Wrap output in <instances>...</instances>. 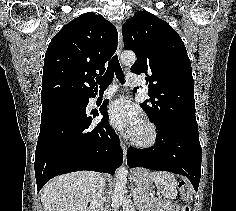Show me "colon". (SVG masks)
I'll return each mask as SVG.
<instances>
[{"mask_svg": "<svg viewBox=\"0 0 236 211\" xmlns=\"http://www.w3.org/2000/svg\"><path fill=\"white\" fill-rule=\"evenodd\" d=\"M178 187H179L180 191L182 192V197H183L184 201L190 202L191 198H192V195H191V192L189 190L188 183L185 182V181H181L179 183ZM182 211H189V208L184 207Z\"/></svg>", "mask_w": 236, "mask_h": 211, "instance_id": "colon-1", "label": "colon"}]
</instances>
